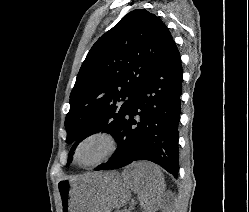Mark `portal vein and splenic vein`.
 <instances>
[{"label":"portal vein and splenic vein","mask_w":249,"mask_h":212,"mask_svg":"<svg viewBox=\"0 0 249 212\" xmlns=\"http://www.w3.org/2000/svg\"><path fill=\"white\" fill-rule=\"evenodd\" d=\"M122 212H127V210H122Z\"/></svg>","instance_id":"portal-vein-and-splenic-vein-1"}]
</instances>
